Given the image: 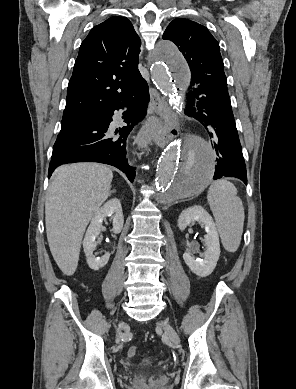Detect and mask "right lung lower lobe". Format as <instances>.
Wrapping results in <instances>:
<instances>
[{
	"label": "right lung lower lobe",
	"mask_w": 296,
	"mask_h": 389,
	"mask_svg": "<svg viewBox=\"0 0 296 389\" xmlns=\"http://www.w3.org/2000/svg\"><path fill=\"white\" fill-rule=\"evenodd\" d=\"M148 101V85L140 75L121 104L91 116L88 121L74 128L60 131L53 147L48 177L62 164L99 162L120 169L133 182L135 168L126 160L127 137L133 127L145 117ZM124 106L127 107L123 117L127 126L116 132L120 136L112 137L107 130L114 110L123 109Z\"/></svg>",
	"instance_id": "right-lung-lower-lobe-1"
}]
</instances>
